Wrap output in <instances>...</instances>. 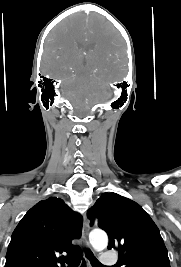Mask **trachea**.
Segmentation results:
<instances>
[{"instance_id":"1","label":"trachea","mask_w":181,"mask_h":267,"mask_svg":"<svg viewBox=\"0 0 181 267\" xmlns=\"http://www.w3.org/2000/svg\"><path fill=\"white\" fill-rule=\"evenodd\" d=\"M86 256L89 258L93 267H104L91 251H87ZM80 258V253H76L72 257H68L63 260L68 264V267H78L80 264Z\"/></svg>"}]
</instances>
